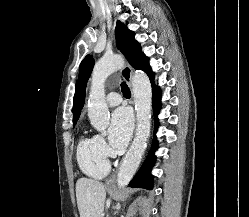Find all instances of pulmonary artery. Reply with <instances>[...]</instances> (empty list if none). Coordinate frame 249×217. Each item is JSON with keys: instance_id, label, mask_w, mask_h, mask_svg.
I'll return each mask as SVG.
<instances>
[{"instance_id": "1", "label": "pulmonary artery", "mask_w": 249, "mask_h": 217, "mask_svg": "<svg viewBox=\"0 0 249 217\" xmlns=\"http://www.w3.org/2000/svg\"><path fill=\"white\" fill-rule=\"evenodd\" d=\"M121 96L117 92H111L107 95V103L110 106H116L120 103Z\"/></svg>"}]
</instances>
